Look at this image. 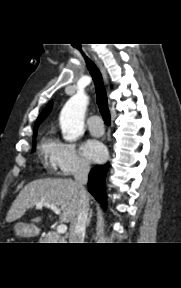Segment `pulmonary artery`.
I'll return each mask as SVG.
<instances>
[{
	"mask_svg": "<svg viewBox=\"0 0 181 288\" xmlns=\"http://www.w3.org/2000/svg\"><path fill=\"white\" fill-rule=\"evenodd\" d=\"M88 129L92 135L100 136L104 132L101 118L98 115H92L88 121Z\"/></svg>",
	"mask_w": 181,
	"mask_h": 288,
	"instance_id": "obj_1",
	"label": "pulmonary artery"
}]
</instances>
